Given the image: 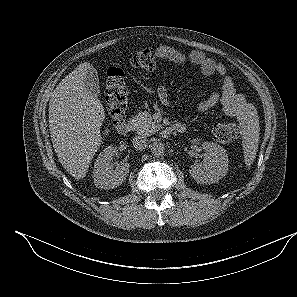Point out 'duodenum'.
<instances>
[{
    "label": "duodenum",
    "mask_w": 297,
    "mask_h": 297,
    "mask_svg": "<svg viewBox=\"0 0 297 297\" xmlns=\"http://www.w3.org/2000/svg\"><path fill=\"white\" fill-rule=\"evenodd\" d=\"M133 128H134L133 121H122V122L118 123L117 127H116L117 132L121 135L129 134L133 130ZM184 130H185V127L183 124L176 123V124L166 127L162 131V135L168 136L172 133H182V132H184Z\"/></svg>",
    "instance_id": "duodenum-1"
}]
</instances>
